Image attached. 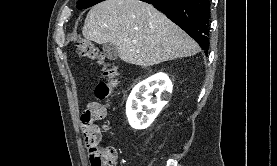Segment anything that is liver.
<instances>
[{"instance_id":"6515ba94","label":"liver","mask_w":277,"mask_h":166,"mask_svg":"<svg viewBox=\"0 0 277 166\" xmlns=\"http://www.w3.org/2000/svg\"><path fill=\"white\" fill-rule=\"evenodd\" d=\"M83 36L113 43L121 60L153 66L199 52L198 44L164 14L140 0H105L91 8Z\"/></svg>"}]
</instances>
